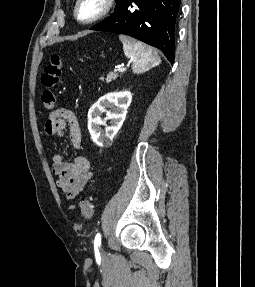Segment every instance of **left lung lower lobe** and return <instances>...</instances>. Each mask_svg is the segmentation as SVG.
Returning <instances> with one entry per match:
<instances>
[{"label":"left lung lower lobe","mask_w":255,"mask_h":287,"mask_svg":"<svg viewBox=\"0 0 255 287\" xmlns=\"http://www.w3.org/2000/svg\"><path fill=\"white\" fill-rule=\"evenodd\" d=\"M180 8L181 0H118L113 15L90 29L132 36L162 50L173 64Z\"/></svg>","instance_id":"left-lung-lower-lobe-1"}]
</instances>
